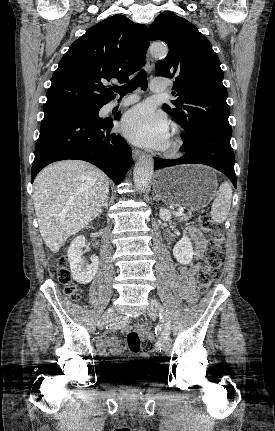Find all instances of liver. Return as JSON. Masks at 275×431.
Masks as SVG:
<instances>
[{"label":"liver","mask_w":275,"mask_h":431,"mask_svg":"<svg viewBox=\"0 0 275 431\" xmlns=\"http://www.w3.org/2000/svg\"><path fill=\"white\" fill-rule=\"evenodd\" d=\"M108 193V177L84 161H59L37 175L34 208L41 236L53 253L98 216Z\"/></svg>","instance_id":"6515ba94"}]
</instances>
